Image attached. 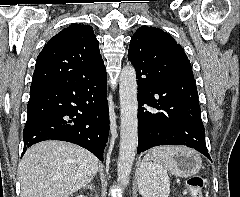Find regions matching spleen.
I'll list each match as a JSON object with an SVG mask.
<instances>
[{
	"instance_id": "1",
	"label": "spleen",
	"mask_w": 240,
	"mask_h": 197,
	"mask_svg": "<svg viewBox=\"0 0 240 197\" xmlns=\"http://www.w3.org/2000/svg\"><path fill=\"white\" fill-rule=\"evenodd\" d=\"M193 150L178 146H159L152 148L149 155L152 160L145 162L140 167V177L143 182L140 192L144 197H168L170 181L166 164L175 154L191 152Z\"/></svg>"
}]
</instances>
